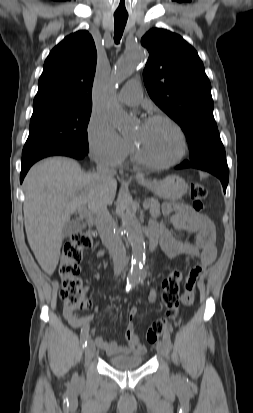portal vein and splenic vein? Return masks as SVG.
Instances as JSON below:
<instances>
[{"label": "portal vein and splenic vein", "instance_id": "18ae733b", "mask_svg": "<svg viewBox=\"0 0 253 413\" xmlns=\"http://www.w3.org/2000/svg\"><path fill=\"white\" fill-rule=\"evenodd\" d=\"M143 208L144 209H149V205L146 201H144L143 203ZM78 213L80 215V217L82 218H89L91 216V213L87 210V208L85 206H82L78 209Z\"/></svg>", "mask_w": 253, "mask_h": 413}]
</instances>
